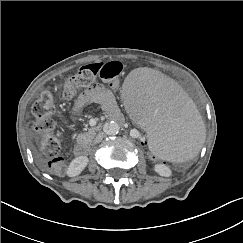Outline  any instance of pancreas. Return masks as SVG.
Wrapping results in <instances>:
<instances>
[{
    "label": "pancreas",
    "instance_id": "1",
    "mask_svg": "<svg viewBox=\"0 0 243 243\" xmlns=\"http://www.w3.org/2000/svg\"><path fill=\"white\" fill-rule=\"evenodd\" d=\"M96 132H97V129L90 128L87 132L81 133L78 136L77 141L78 142H89L94 138Z\"/></svg>",
    "mask_w": 243,
    "mask_h": 243
}]
</instances>
